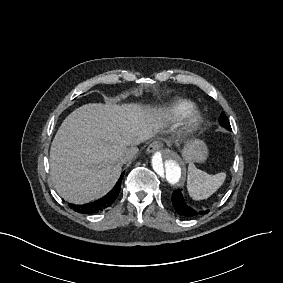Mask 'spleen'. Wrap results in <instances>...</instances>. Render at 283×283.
I'll use <instances>...</instances> for the list:
<instances>
[{"instance_id": "spleen-1", "label": "spleen", "mask_w": 283, "mask_h": 283, "mask_svg": "<svg viewBox=\"0 0 283 283\" xmlns=\"http://www.w3.org/2000/svg\"><path fill=\"white\" fill-rule=\"evenodd\" d=\"M226 174L219 172L209 174L190 163L188 167V190L195 199L209 197L223 183Z\"/></svg>"}]
</instances>
